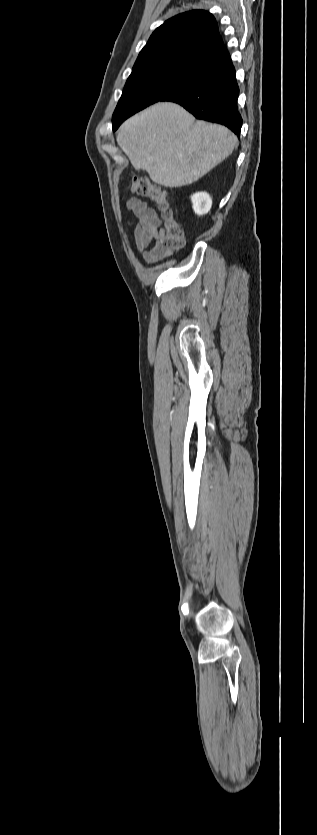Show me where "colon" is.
Returning a JSON list of instances; mask_svg holds the SVG:
<instances>
[{"label":"colon","instance_id":"obj_1","mask_svg":"<svg viewBox=\"0 0 317 835\" xmlns=\"http://www.w3.org/2000/svg\"><path fill=\"white\" fill-rule=\"evenodd\" d=\"M130 188L137 195L148 198L160 210L164 221V234L157 246L158 253L168 256L180 249L184 243V233L174 217L173 208L166 192L153 185L147 178L137 176L130 178Z\"/></svg>","mask_w":317,"mask_h":835}]
</instances>
